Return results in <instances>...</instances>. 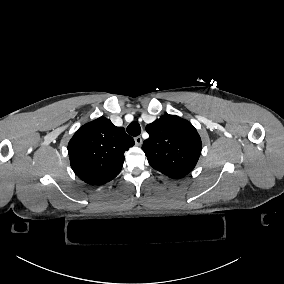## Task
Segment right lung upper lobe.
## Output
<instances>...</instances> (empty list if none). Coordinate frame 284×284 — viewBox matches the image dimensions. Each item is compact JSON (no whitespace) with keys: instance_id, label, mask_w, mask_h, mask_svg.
<instances>
[{"instance_id":"right-lung-upper-lobe-1","label":"right lung upper lobe","mask_w":284,"mask_h":284,"mask_svg":"<svg viewBox=\"0 0 284 284\" xmlns=\"http://www.w3.org/2000/svg\"><path fill=\"white\" fill-rule=\"evenodd\" d=\"M134 145L123 127L100 117L80 127L68 144L75 174L90 185L105 184L121 171L124 152Z\"/></svg>"}]
</instances>
